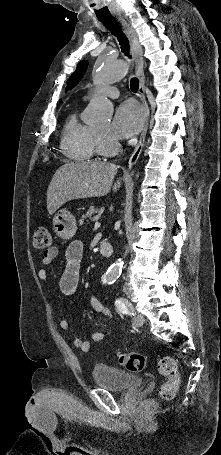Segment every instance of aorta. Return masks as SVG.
<instances>
[{
	"label": "aorta",
	"mask_w": 221,
	"mask_h": 455,
	"mask_svg": "<svg viewBox=\"0 0 221 455\" xmlns=\"http://www.w3.org/2000/svg\"><path fill=\"white\" fill-rule=\"evenodd\" d=\"M128 71V64L124 61H114L104 59L97 65L93 72V83L95 86H102L109 83L120 81L125 77ZM113 114L112 103L102 96H94L90 101L86 113L85 122L87 124L107 123ZM124 262L122 259L116 260L107 270L105 278L107 281L116 280L123 269Z\"/></svg>",
	"instance_id": "obj_1"
}]
</instances>
